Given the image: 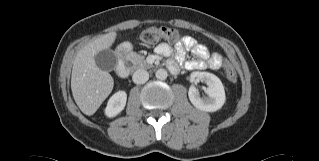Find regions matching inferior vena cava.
Wrapping results in <instances>:
<instances>
[{
    "instance_id": "1",
    "label": "inferior vena cava",
    "mask_w": 319,
    "mask_h": 161,
    "mask_svg": "<svg viewBox=\"0 0 319 161\" xmlns=\"http://www.w3.org/2000/svg\"><path fill=\"white\" fill-rule=\"evenodd\" d=\"M149 79V73L144 69H138L134 72L132 80L136 84H143Z\"/></svg>"
}]
</instances>
